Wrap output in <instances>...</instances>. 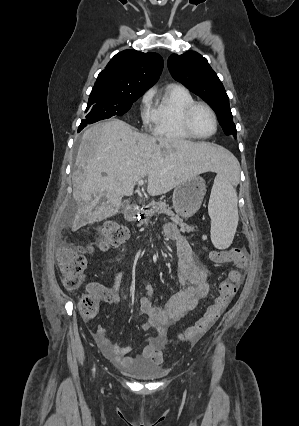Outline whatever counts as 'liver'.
Masks as SVG:
<instances>
[{
    "instance_id": "6515ba94",
    "label": "liver",
    "mask_w": 299,
    "mask_h": 426,
    "mask_svg": "<svg viewBox=\"0 0 299 426\" xmlns=\"http://www.w3.org/2000/svg\"><path fill=\"white\" fill-rule=\"evenodd\" d=\"M234 162L219 145L141 134L118 119L97 123L83 133L76 157L72 230L115 215L123 196H131L144 177L148 194L157 196L200 173L226 171Z\"/></svg>"
}]
</instances>
